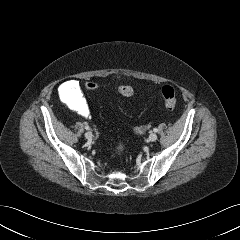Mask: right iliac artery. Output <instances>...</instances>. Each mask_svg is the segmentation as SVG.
Masks as SVG:
<instances>
[{"label": "right iliac artery", "instance_id": "obj_1", "mask_svg": "<svg viewBox=\"0 0 240 240\" xmlns=\"http://www.w3.org/2000/svg\"><path fill=\"white\" fill-rule=\"evenodd\" d=\"M85 129H86V130H89V129H90V127H89L88 125H86V126H85Z\"/></svg>", "mask_w": 240, "mask_h": 240}]
</instances>
